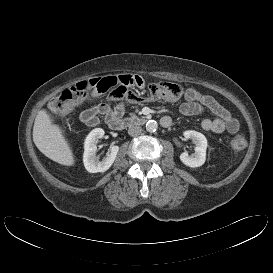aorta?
<instances>
[{"label":"aorta","instance_id":"obj_1","mask_svg":"<svg viewBox=\"0 0 273 273\" xmlns=\"http://www.w3.org/2000/svg\"><path fill=\"white\" fill-rule=\"evenodd\" d=\"M157 128H158V124L155 120H149L146 123V130L149 132H154L157 130Z\"/></svg>","mask_w":273,"mask_h":273}]
</instances>
